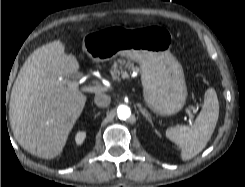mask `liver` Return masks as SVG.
I'll list each match as a JSON object with an SVG mask.
<instances>
[{
    "label": "liver",
    "mask_w": 245,
    "mask_h": 187,
    "mask_svg": "<svg viewBox=\"0 0 245 187\" xmlns=\"http://www.w3.org/2000/svg\"><path fill=\"white\" fill-rule=\"evenodd\" d=\"M79 67L60 40L37 48L21 67L11 91L9 118L16 141L29 153L53 159L63 151L87 97L57 79Z\"/></svg>",
    "instance_id": "1"
}]
</instances>
